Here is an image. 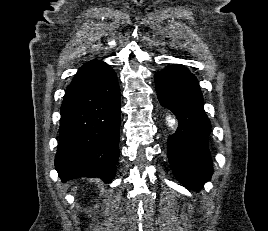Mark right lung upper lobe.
Listing matches in <instances>:
<instances>
[{"label": "right lung upper lobe", "mask_w": 268, "mask_h": 231, "mask_svg": "<svg viewBox=\"0 0 268 231\" xmlns=\"http://www.w3.org/2000/svg\"><path fill=\"white\" fill-rule=\"evenodd\" d=\"M100 63V61H90L86 64H84L83 66H81L78 70V72L75 74L74 78H78L84 74H86L88 71H90L92 68H94L96 65H98Z\"/></svg>", "instance_id": "right-lung-upper-lobe-1"}]
</instances>
